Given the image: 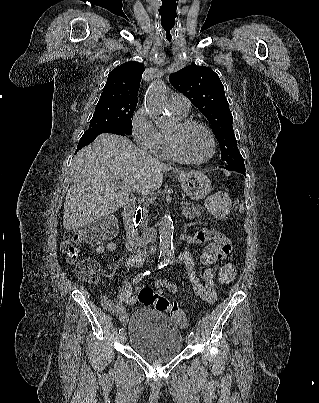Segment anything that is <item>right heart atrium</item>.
Returning a JSON list of instances; mask_svg holds the SVG:
<instances>
[{
  "mask_svg": "<svg viewBox=\"0 0 319 403\" xmlns=\"http://www.w3.org/2000/svg\"><path fill=\"white\" fill-rule=\"evenodd\" d=\"M132 137L136 144L149 154H159L161 150V135L155 124L148 116L144 106L139 107L131 118Z\"/></svg>",
  "mask_w": 319,
  "mask_h": 403,
  "instance_id": "right-heart-atrium-1",
  "label": "right heart atrium"
}]
</instances>
